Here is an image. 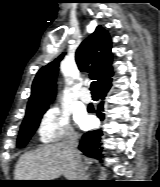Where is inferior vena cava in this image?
Returning a JSON list of instances; mask_svg holds the SVG:
<instances>
[{"instance_id": "inferior-vena-cava-1", "label": "inferior vena cava", "mask_w": 160, "mask_h": 187, "mask_svg": "<svg viewBox=\"0 0 160 187\" xmlns=\"http://www.w3.org/2000/svg\"><path fill=\"white\" fill-rule=\"evenodd\" d=\"M65 145H66V149L68 150V152L73 155V157L75 158V160L77 162L78 175H79L78 180H86L87 176L85 175V171H84L83 165L81 163L80 153L77 150V146H78L77 135L74 133H71L69 135L67 141L65 142Z\"/></svg>"}]
</instances>
